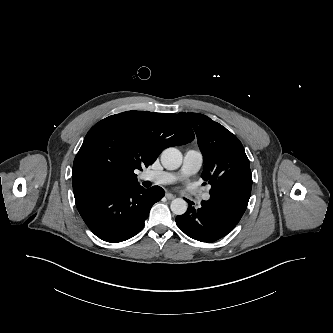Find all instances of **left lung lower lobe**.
<instances>
[{"instance_id":"obj_1","label":"left lung lower lobe","mask_w":333,"mask_h":333,"mask_svg":"<svg viewBox=\"0 0 333 333\" xmlns=\"http://www.w3.org/2000/svg\"><path fill=\"white\" fill-rule=\"evenodd\" d=\"M252 187L250 169L223 177L210 191L211 198L202 201L195 209L194 203L185 199L188 210L176 217L178 227L189 237L201 242H214L231 232L244 214Z\"/></svg>"}]
</instances>
